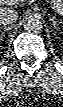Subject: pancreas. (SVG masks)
<instances>
[{
  "label": "pancreas",
  "instance_id": "1",
  "mask_svg": "<svg viewBox=\"0 0 63 107\" xmlns=\"http://www.w3.org/2000/svg\"><path fill=\"white\" fill-rule=\"evenodd\" d=\"M50 4L60 10H63V1L62 0H51Z\"/></svg>",
  "mask_w": 63,
  "mask_h": 107
}]
</instances>
